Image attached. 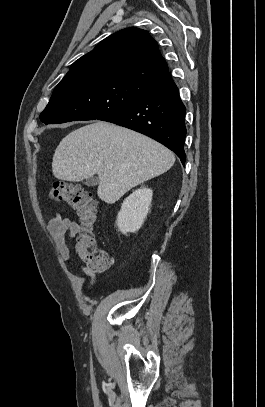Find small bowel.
Segmentation results:
<instances>
[{
  "label": "small bowel",
  "instance_id": "small-bowel-1",
  "mask_svg": "<svg viewBox=\"0 0 265 407\" xmlns=\"http://www.w3.org/2000/svg\"><path fill=\"white\" fill-rule=\"evenodd\" d=\"M47 230L57 246L61 261L67 263L72 255L67 239L74 238L79 233V224L59 213H54L47 224ZM81 269L86 276V289L89 290L96 282L95 274L86 267L81 266Z\"/></svg>",
  "mask_w": 265,
  "mask_h": 407
}]
</instances>
